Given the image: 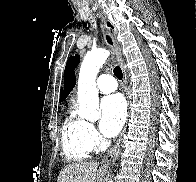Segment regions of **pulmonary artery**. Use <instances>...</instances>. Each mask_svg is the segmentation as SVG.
Masks as SVG:
<instances>
[{
	"label": "pulmonary artery",
	"mask_w": 196,
	"mask_h": 182,
	"mask_svg": "<svg viewBox=\"0 0 196 182\" xmlns=\"http://www.w3.org/2000/svg\"><path fill=\"white\" fill-rule=\"evenodd\" d=\"M97 89L102 93H111L117 89V83L111 75H101L96 83Z\"/></svg>",
	"instance_id": "obj_1"
}]
</instances>
